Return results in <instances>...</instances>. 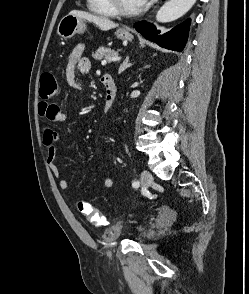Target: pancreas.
<instances>
[{
  "mask_svg": "<svg viewBox=\"0 0 249 294\" xmlns=\"http://www.w3.org/2000/svg\"><path fill=\"white\" fill-rule=\"evenodd\" d=\"M115 55H117V53L114 50L106 47H99L95 53H92V57L99 61L103 58L113 57Z\"/></svg>",
  "mask_w": 249,
  "mask_h": 294,
  "instance_id": "cf45deb5",
  "label": "pancreas"
}]
</instances>
